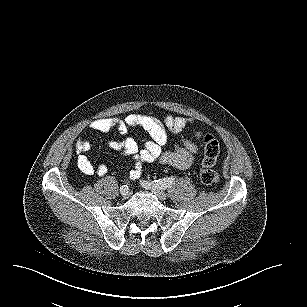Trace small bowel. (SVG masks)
<instances>
[{
	"label": "small bowel",
	"instance_id": "obj_1",
	"mask_svg": "<svg viewBox=\"0 0 307 307\" xmlns=\"http://www.w3.org/2000/svg\"><path fill=\"white\" fill-rule=\"evenodd\" d=\"M194 123L191 118L168 115L163 120L142 114H130L125 118H99L90 122L89 128L97 132L117 131L118 135H125L131 127H138L145 130L149 139L145 140L140 148L137 142L130 137L117 139L113 138L108 142L111 149L121 152L134 162V168L129 171L127 177L130 180H137L141 176L142 167L146 163L160 162L173 166L177 169H188L194 162L199 151L198 145L192 140H182L172 150H164L167 143L168 132L179 134L188 125ZM196 138H200L201 132L196 131ZM91 145L87 138H79L75 143L77 163L80 170L86 175L105 176L108 168L105 164L93 165L87 156Z\"/></svg>",
	"mask_w": 307,
	"mask_h": 307
}]
</instances>
